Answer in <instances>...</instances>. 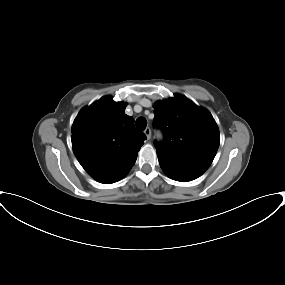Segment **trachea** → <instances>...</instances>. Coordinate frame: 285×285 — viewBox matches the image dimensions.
Wrapping results in <instances>:
<instances>
[{
	"label": "trachea",
	"mask_w": 285,
	"mask_h": 285,
	"mask_svg": "<svg viewBox=\"0 0 285 285\" xmlns=\"http://www.w3.org/2000/svg\"><path fill=\"white\" fill-rule=\"evenodd\" d=\"M147 126V121L144 117H139L137 118L136 120V127L139 129V130H144Z\"/></svg>",
	"instance_id": "1"
}]
</instances>
